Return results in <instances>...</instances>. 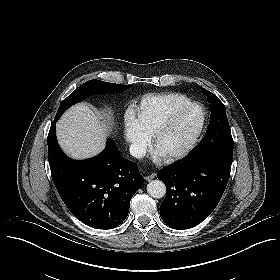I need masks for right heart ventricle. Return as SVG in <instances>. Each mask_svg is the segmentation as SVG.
I'll use <instances>...</instances> for the list:
<instances>
[{"label": "right heart ventricle", "mask_w": 280, "mask_h": 280, "mask_svg": "<svg viewBox=\"0 0 280 280\" xmlns=\"http://www.w3.org/2000/svg\"><path fill=\"white\" fill-rule=\"evenodd\" d=\"M188 102V98L184 95H170L163 99V105L166 108H181Z\"/></svg>", "instance_id": "obj_1"}]
</instances>
